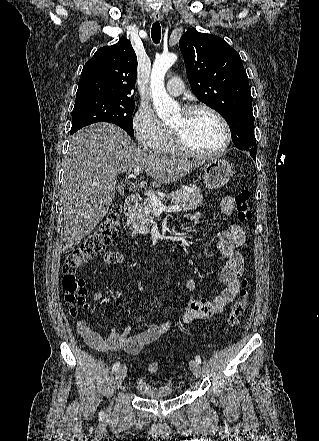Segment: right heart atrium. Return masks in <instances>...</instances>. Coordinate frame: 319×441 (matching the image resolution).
I'll list each match as a JSON object with an SVG mask.
<instances>
[{"label":"right heart atrium","instance_id":"1","mask_svg":"<svg viewBox=\"0 0 319 441\" xmlns=\"http://www.w3.org/2000/svg\"><path fill=\"white\" fill-rule=\"evenodd\" d=\"M132 130L138 145L147 151H159L167 134L166 126L147 104H141L135 112Z\"/></svg>","mask_w":319,"mask_h":441}]
</instances>
